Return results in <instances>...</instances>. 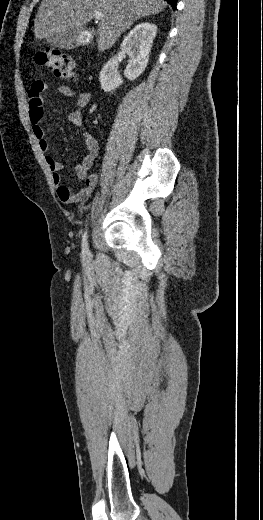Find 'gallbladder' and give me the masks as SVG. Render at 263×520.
I'll return each mask as SVG.
<instances>
[{
  "label": "gallbladder",
  "mask_w": 263,
  "mask_h": 520,
  "mask_svg": "<svg viewBox=\"0 0 263 520\" xmlns=\"http://www.w3.org/2000/svg\"><path fill=\"white\" fill-rule=\"evenodd\" d=\"M84 33V29L77 28L72 33L68 34H55L50 41V44L54 47H59L61 49H74L79 47L81 37Z\"/></svg>",
  "instance_id": "obj_1"
}]
</instances>
